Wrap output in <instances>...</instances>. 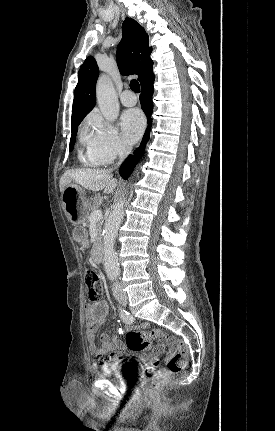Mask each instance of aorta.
Here are the masks:
<instances>
[{
	"label": "aorta",
	"instance_id": "762f6f07",
	"mask_svg": "<svg viewBox=\"0 0 275 431\" xmlns=\"http://www.w3.org/2000/svg\"><path fill=\"white\" fill-rule=\"evenodd\" d=\"M96 97L100 111L108 122H113L119 115V102L113 83L107 75L99 77L96 85ZM126 194V192H125ZM126 197L123 196L113 205L112 211L105 221L103 229L104 269L110 279H115L120 273L115 239L124 215Z\"/></svg>",
	"mask_w": 275,
	"mask_h": 431
}]
</instances>
